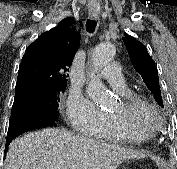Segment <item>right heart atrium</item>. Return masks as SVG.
<instances>
[{
	"label": "right heart atrium",
	"mask_w": 177,
	"mask_h": 169,
	"mask_svg": "<svg viewBox=\"0 0 177 169\" xmlns=\"http://www.w3.org/2000/svg\"><path fill=\"white\" fill-rule=\"evenodd\" d=\"M65 108L70 125L78 133L91 135L101 125L103 113L80 92H70Z\"/></svg>",
	"instance_id": "obj_1"
}]
</instances>
